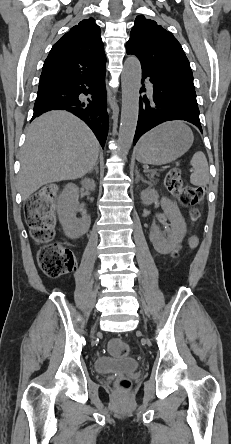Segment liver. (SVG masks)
<instances>
[{"mask_svg":"<svg viewBox=\"0 0 231 444\" xmlns=\"http://www.w3.org/2000/svg\"><path fill=\"white\" fill-rule=\"evenodd\" d=\"M99 148L90 128L67 111H50L36 118L21 150L18 186L22 199L45 184L84 176L97 163Z\"/></svg>","mask_w":231,"mask_h":444,"instance_id":"6515ba94","label":"liver"}]
</instances>
